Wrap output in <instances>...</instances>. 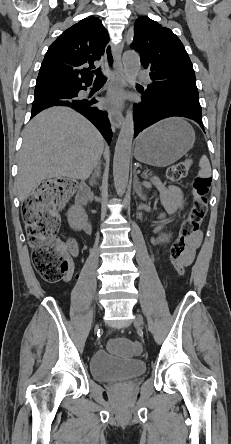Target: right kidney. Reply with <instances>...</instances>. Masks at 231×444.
Here are the masks:
<instances>
[{
	"instance_id": "obj_1",
	"label": "right kidney",
	"mask_w": 231,
	"mask_h": 444,
	"mask_svg": "<svg viewBox=\"0 0 231 444\" xmlns=\"http://www.w3.org/2000/svg\"><path fill=\"white\" fill-rule=\"evenodd\" d=\"M67 218L70 227L74 230H81L88 219L84 210L76 205L68 210Z\"/></svg>"
}]
</instances>
